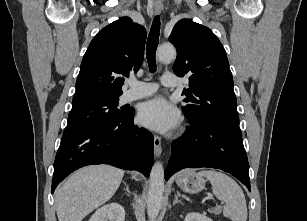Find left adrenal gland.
I'll return each instance as SVG.
<instances>
[{
	"label": "left adrenal gland",
	"instance_id": "left-adrenal-gland-1",
	"mask_svg": "<svg viewBox=\"0 0 307 221\" xmlns=\"http://www.w3.org/2000/svg\"><path fill=\"white\" fill-rule=\"evenodd\" d=\"M177 203H181V200H179V194L175 195V200L173 201V205L177 204Z\"/></svg>",
	"mask_w": 307,
	"mask_h": 221
}]
</instances>
